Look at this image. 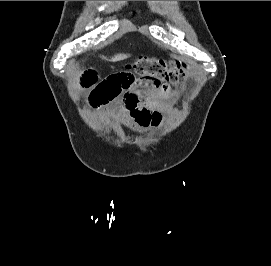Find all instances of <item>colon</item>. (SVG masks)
I'll use <instances>...</instances> for the list:
<instances>
[{
  "instance_id": "colon-1",
  "label": "colon",
  "mask_w": 271,
  "mask_h": 266,
  "mask_svg": "<svg viewBox=\"0 0 271 266\" xmlns=\"http://www.w3.org/2000/svg\"><path fill=\"white\" fill-rule=\"evenodd\" d=\"M130 68L138 74L157 77L163 81L175 82L187 77V71L183 66L158 58L142 57L132 63Z\"/></svg>"
}]
</instances>
